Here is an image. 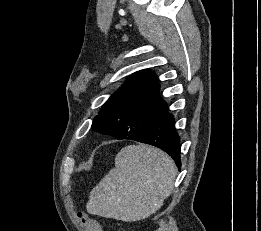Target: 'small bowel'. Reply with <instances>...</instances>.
I'll use <instances>...</instances> for the list:
<instances>
[{
	"label": "small bowel",
	"instance_id": "small-bowel-1",
	"mask_svg": "<svg viewBox=\"0 0 261 231\" xmlns=\"http://www.w3.org/2000/svg\"><path fill=\"white\" fill-rule=\"evenodd\" d=\"M85 231H102L95 220H89V224L85 227Z\"/></svg>",
	"mask_w": 261,
	"mask_h": 231
}]
</instances>
